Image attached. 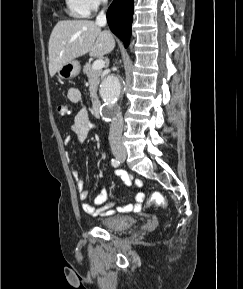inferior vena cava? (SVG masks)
<instances>
[{
  "label": "inferior vena cava",
  "mask_w": 243,
  "mask_h": 289,
  "mask_svg": "<svg viewBox=\"0 0 243 289\" xmlns=\"http://www.w3.org/2000/svg\"><path fill=\"white\" fill-rule=\"evenodd\" d=\"M106 2V0H101ZM107 23L106 15L102 10L96 17V24L99 26H105ZM122 130H123V117L121 113H116L112 118L110 131H109V142L112 152L115 153H124L126 151L125 146L122 142Z\"/></svg>",
  "instance_id": "inferior-vena-cava-1"
}]
</instances>
